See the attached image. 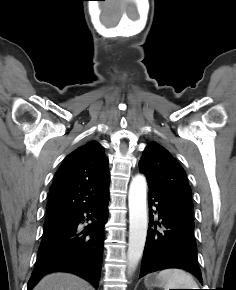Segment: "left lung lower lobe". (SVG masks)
<instances>
[{
  "mask_svg": "<svg viewBox=\"0 0 236 290\" xmlns=\"http://www.w3.org/2000/svg\"><path fill=\"white\" fill-rule=\"evenodd\" d=\"M149 228L139 278L166 268H182L202 282L197 260L192 214L185 211L173 198L149 190ZM152 207L158 211L160 222H154ZM156 225L162 227L161 230Z\"/></svg>",
  "mask_w": 236,
  "mask_h": 290,
  "instance_id": "obj_1",
  "label": "left lung lower lobe"
}]
</instances>
